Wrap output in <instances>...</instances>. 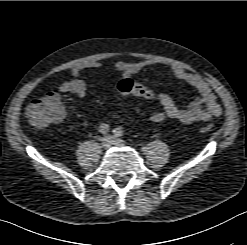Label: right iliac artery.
Listing matches in <instances>:
<instances>
[{
    "label": "right iliac artery",
    "instance_id": "82829eb1",
    "mask_svg": "<svg viewBox=\"0 0 247 245\" xmlns=\"http://www.w3.org/2000/svg\"><path fill=\"white\" fill-rule=\"evenodd\" d=\"M99 132L102 134H106L109 132V125L107 124H101L99 127Z\"/></svg>",
    "mask_w": 247,
    "mask_h": 245
}]
</instances>
